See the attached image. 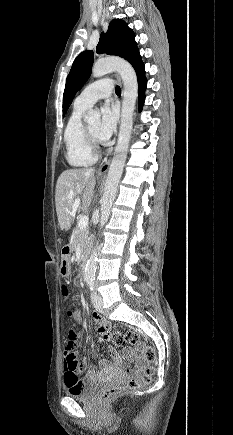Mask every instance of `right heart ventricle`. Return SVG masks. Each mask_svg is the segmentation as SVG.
Masks as SVG:
<instances>
[{"label": "right heart ventricle", "instance_id": "obj_1", "mask_svg": "<svg viewBox=\"0 0 233 435\" xmlns=\"http://www.w3.org/2000/svg\"><path fill=\"white\" fill-rule=\"evenodd\" d=\"M87 108L74 105L64 130L66 160L73 167H89L97 161V154L89 145L82 115Z\"/></svg>", "mask_w": 233, "mask_h": 435}]
</instances>
